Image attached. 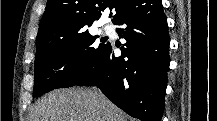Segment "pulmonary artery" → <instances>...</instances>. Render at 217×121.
Returning a JSON list of instances; mask_svg holds the SVG:
<instances>
[{
  "mask_svg": "<svg viewBox=\"0 0 217 121\" xmlns=\"http://www.w3.org/2000/svg\"><path fill=\"white\" fill-rule=\"evenodd\" d=\"M104 30L107 34H113L114 33V28L111 25H106L104 27Z\"/></svg>",
  "mask_w": 217,
  "mask_h": 121,
  "instance_id": "e3ab8cb5",
  "label": "pulmonary artery"
}]
</instances>
